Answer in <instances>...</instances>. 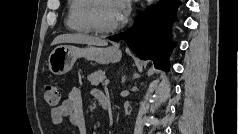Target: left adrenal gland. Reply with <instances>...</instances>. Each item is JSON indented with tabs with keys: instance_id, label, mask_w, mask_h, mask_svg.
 I'll use <instances>...</instances> for the list:
<instances>
[{
	"instance_id": "obj_1",
	"label": "left adrenal gland",
	"mask_w": 239,
	"mask_h": 134,
	"mask_svg": "<svg viewBox=\"0 0 239 134\" xmlns=\"http://www.w3.org/2000/svg\"><path fill=\"white\" fill-rule=\"evenodd\" d=\"M125 80H126V76L124 75V76L122 77V83H124Z\"/></svg>"
}]
</instances>
